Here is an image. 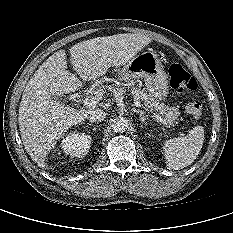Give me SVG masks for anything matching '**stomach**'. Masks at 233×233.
I'll list each match as a JSON object with an SVG mask.
<instances>
[{
  "instance_id": "stomach-1",
  "label": "stomach",
  "mask_w": 233,
  "mask_h": 233,
  "mask_svg": "<svg viewBox=\"0 0 233 233\" xmlns=\"http://www.w3.org/2000/svg\"><path fill=\"white\" fill-rule=\"evenodd\" d=\"M114 73L124 81L144 78L149 94L157 100H164L168 95V75L154 52L137 54L123 68L116 67Z\"/></svg>"
}]
</instances>
